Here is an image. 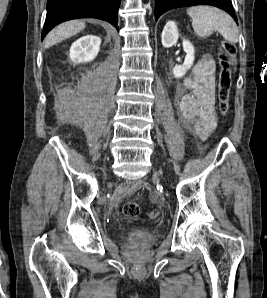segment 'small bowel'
Returning a JSON list of instances; mask_svg holds the SVG:
<instances>
[{
    "instance_id": "c3829d8e",
    "label": "small bowel",
    "mask_w": 267,
    "mask_h": 298,
    "mask_svg": "<svg viewBox=\"0 0 267 298\" xmlns=\"http://www.w3.org/2000/svg\"><path fill=\"white\" fill-rule=\"evenodd\" d=\"M215 70L216 64L211 56L206 55L198 61L193 67L192 75L184 80L177 103L183 125L202 141L210 136L217 125Z\"/></svg>"
}]
</instances>
